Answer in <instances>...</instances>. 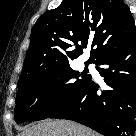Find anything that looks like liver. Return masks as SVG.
Listing matches in <instances>:
<instances>
[{
  "label": "liver",
  "instance_id": "1",
  "mask_svg": "<svg viewBox=\"0 0 136 136\" xmlns=\"http://www.w3.org/2000/svg\"><path fill=\"white\" fill-rule=\"evenodd\" d=\"M19 136H98L89 128L67 120H47L31 125Z\"/></svg>",
  "mask_w": 136,
  "mask_h": 136
}]
</instances>
